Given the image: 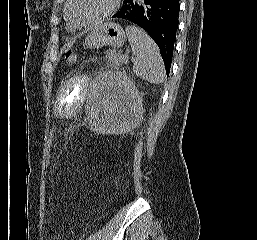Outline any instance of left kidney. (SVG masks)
Here are the masks:
<instances>
[{
	"label": "left kidney",
	"instance_id": "1",
	"mask_svg": "<svg viewBox=\"0 0 257 240\" xmlns=\"http://www.w3.org/2000/svg\"><path fill=\"white\" fill-rule=\"evenodd\" d=\"M87 111L94 131L125 134L143 118L142 97L133 81L123 72H105L93 81Z\"/></svg>",
	"mask_w": 257,
	"mask_h": 240
}]
</instances>
